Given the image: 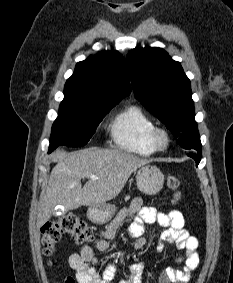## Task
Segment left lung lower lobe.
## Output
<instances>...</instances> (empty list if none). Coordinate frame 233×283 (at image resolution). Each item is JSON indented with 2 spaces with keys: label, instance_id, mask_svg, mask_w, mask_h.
Masks as SVG:
<instances>
[{
  "label": "left lung lower lobe",
  "instance_id": "left-lung-lower-lobe-1",
  "mask_svg": "<svg viewBox=\"0 0 233 283\" xmlns=\"http://www.w3.org/2000/svg\"><path fill=\"white\" fill-rule=\"evenodd\" d=\"M190 157H192L195 161H196V166L199 164L200 162V157L202 156L201 153L198 154H188Z\"/></svg>",
  "mask_w": 233,
  "mask_h": 283
}]
</instances>
